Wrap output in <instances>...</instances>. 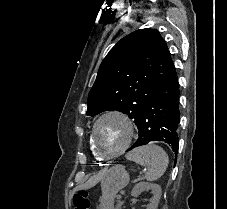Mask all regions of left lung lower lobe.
<instances>
[{
    "label": "left lung lower lobe",
    "mask_w": 227,
    "mask_h": 209,
    "mask_svg": "<svg viewBox=\"0 0 227 209\" xmlns=\"http://www.w3.org/2000/svg\"><path fill=\"white\" fill-rule=\"evenodd\" d=\"M179 121V84L175 71L163 88L146 103L136 123L139 138L128 151L138 146L161 141L177 154Z\"/></svg>",
    "instance_id": "obj_1"
}]
</instances>
